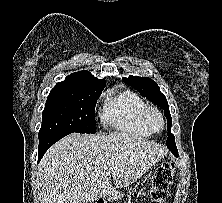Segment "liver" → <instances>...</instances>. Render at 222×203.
Returning a JSON list of instances; mask_svg holds the SVG:
<instances>
[{
  "mask_svg": "<svg viewBox=\"0 0 222 203\" xmlns=\"http://www.w3.org/2000/svg\"><path fill=\"white\" fill-rule=\"evenodd\" d=\"M166 155L165 148L124 132L72 133L55 143L39 165L42 203H92L117 194Z\"/></svg>",
  "mask_w": 222,
  "mask_h": 203,
  "instance_id": "6515ba94",
  "label": "liver"
}]
</instances>
